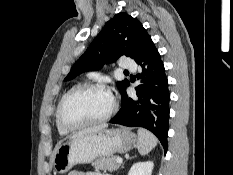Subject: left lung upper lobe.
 Listing matches in <instances>:
<instances>
[{"label": "left lung upper lobe", "instance_id": "5c2ea615", "mask_svg": "<svg viewBox=\"0 0 233 175\" xmlns=\"http://www.w3.org/2000/svg\"><path fill=\"white\" fill-rule=\"evenodd\" d=\"M152 44L153 41L140 21L127 13H118L105 24L64 80H71L86 71L98 70L103 64L113 62L122 55L137 61ZM128 84V80L117 82L120 93Z\"/></svg>", "mask_w": 233, "mask_h": 175}]
</instances>
